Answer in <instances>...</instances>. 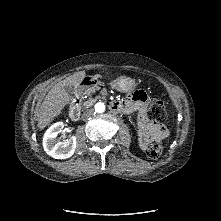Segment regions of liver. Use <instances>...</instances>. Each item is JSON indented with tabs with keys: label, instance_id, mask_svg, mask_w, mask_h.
<instances>
[{
	"label": "liver",
	"instance_id": "obj_1",
	"mask_svg": "<svg viewBox=\"0 0 221 221\" xmlns=\"http://www.w3.org/2000/svg\"><path fill=\"white\" fill-rule=\"evenodd\" d=\"M85 72H76L66 79L55 84L45 96L37 114V126L40 130L48 126L51 121L62 113V110L69 104L71 96L66 92V86L77 87L85 77ZM94 78H102L97 74Z\"/></svg>",
	"mask_w": 221,
	"mask_h": 221
}]
</instances>
